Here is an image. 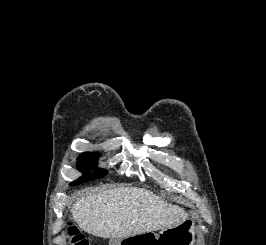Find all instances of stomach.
<instances>
[{
  "label": "stomach",
  "mask_w": 266,
  "mask_h": 245,
  "mask_svg": "<svg viewBox=\"0 0 266 245\" xmlns=\"http://www.w3.org/2000/svg\"><path fill=\"white\" fill-rule=\"evenodd\" d=\"M194 221L185 219L179 225L162 229L156 233H131V237H123V242H158L160 245H194Z\"/></svg>",
  "instance_id": "obj_1"
}]
</instances>
